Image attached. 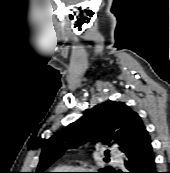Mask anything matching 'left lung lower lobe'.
<instances>
[{
	"label": "left lung lower lobe",
	"mask_w": 170,
	"mask_h": 173,
	"mask_svg": "<svg viewBox=\"0 0 170 173\" xmlns=\"http://www.w3.org/2000/svg\"><path fill=\"white\" fill-rule=\"evenodd\" d=\"M126 157L125 167L128 173H157L151 141L135 151L128 152ZM113 173L121 172L114 171Z\"/></svg>",
	"instance_id": "0a47b994"
}]
</instances>
